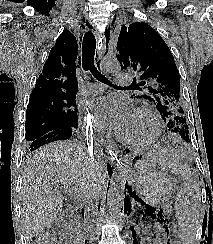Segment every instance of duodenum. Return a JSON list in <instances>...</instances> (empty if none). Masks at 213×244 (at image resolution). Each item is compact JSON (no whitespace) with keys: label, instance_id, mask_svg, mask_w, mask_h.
I'll return each mask as SVG.
<instances>
[{"label":"duodenum","instance_id":"410a0bca","mask_svg":"<svg viewBox=\"0 0 213 244\" xmlns=\"http://www.w3.org/2000/svg\"><path fill=\"white\" fill-rule=\"evenodd\" d=\"M91 214L88 213L87 215H85L84 217L81 218L82 222L84 224H88L89 220H90ZM72 244H83V238L82 235H79L77 237H75L72 241Z\"/></svg>","mask_w":213,"mask_h":244}]
</instances>
